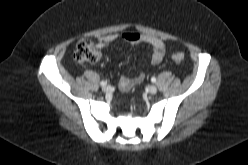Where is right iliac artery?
Wrapping results in <instances>:
<instances>
[{"mask_svg": "<svg viewBox=\"0 0 248 165\" xmlns=\"http://www.w3.org/2000/svg\"><path fill=\"white\" fill-rule=\"evenodd\" d=\"M106 84H107V81H101V82H100V85H101V86H105Z\"/></svg>", "mask_w": 248, "mask_h": 165, "instance_id": "82829eb1", "label": "right iliac artery"}]
</instances>
